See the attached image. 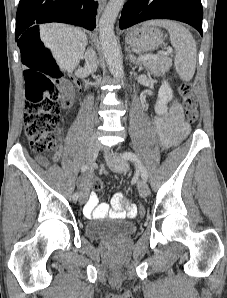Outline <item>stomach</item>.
I'll use <instances>...</instances> for the list:
<instances>
[{"label": "stomach", "instance_id": "obj_1", "mask_svg": "<svg viewBox=\"0 0 227 298\" xmlns=\"http://www.w3.org/2000/svg\"><path fill=\"white\" fill-rule=\"evenodd\" d=\"M165 40L160 29L154 25L145 23L132 29L125 37L128 45L142 52H151L158 49Z\"/></svg>", "mask_w": 227, "mask_h": 298}]
</instances>
